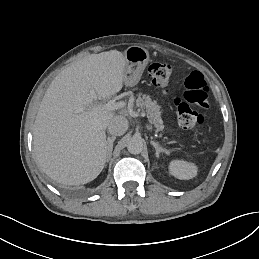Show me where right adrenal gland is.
I'll return each instance as SVG.
<instances>
[{
	"label": "right adrenal gland",
	"mask_w": 259,
	"mask_h": 259,
	"mask_svg": "<svg viewBox=\"0 0 259 259\" xmlns=\"http://www.w3.org/2000/svg\"><path fill=\"white\" fill-rule=\"evenodd\" d=\"M115 141V137H108L107 139V148H108V159L110 158V152L113 149V142Z\"/></svg>",
	"instance_id": "1"
}]
</instances>
